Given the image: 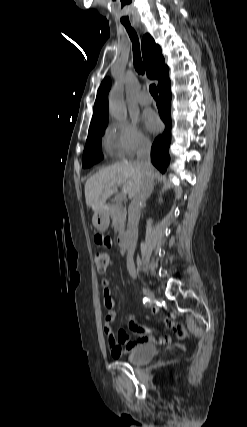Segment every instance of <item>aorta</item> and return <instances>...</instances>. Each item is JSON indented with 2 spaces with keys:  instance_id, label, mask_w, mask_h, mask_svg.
Here are the masks:
<instances>
[{
  "instance_id": "762f6f07",
  "label": "aorta",
  "mask_w": 247,
  "mask_h": 427,
  "mask_svg": "<svg viewBox=\"0 0 247 427\" xmlns=\"http://www.w3.org/2000/svg\"><path fill=\"white\" fill-rule=\"evenodd\" d=\"M109 111L117 121H125L127 119V111L124 105V86L122 83H117L110 92Z\"/></svg>"
}]
</instances>
